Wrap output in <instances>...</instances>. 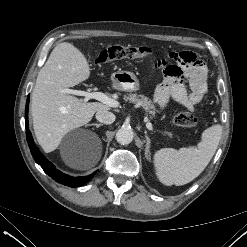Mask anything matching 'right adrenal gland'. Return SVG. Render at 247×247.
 <instances>
[{
  "mask_svg": "<svg viewBox=\"0 0 247 247\" xmlns=\"http://www.w3.org/2000/svg\"><path fill=\"white\" fill-rule=\"evenodd\" d=\"M103 124L101 123H92V124H88V126H96V128H99L100 126H102Z\"/></svg>",
  "mask_w": 247,
  "mask_h": 247,
  "instance_id": "2a0ac1e0",
  "label": "right adrenal gland"
}]
</instances>
